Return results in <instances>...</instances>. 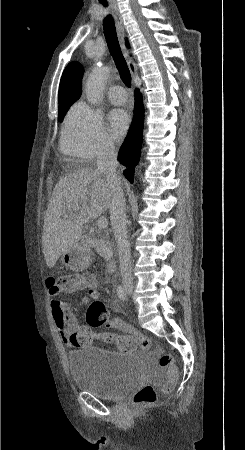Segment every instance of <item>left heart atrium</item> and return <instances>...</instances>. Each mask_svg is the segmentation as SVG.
Segmentation results:
<instances>
[{
	"instance_id": "left-heart-atrium-1",
	"label": "left heart atrium",
	"mask_w": 245,
	"mask_h": 450,
	"mask_svg": "<svg viewBox=\"0 0 245 450\" xmlns=\"http://www.w3.org/2000/svg\"><path fill=\"white\" fill-rule=\"evenodd\" d=\"M130 124V116L124 109H113L109 114V129L116 140H121Z\"/></svg>"
}]
</instances>
